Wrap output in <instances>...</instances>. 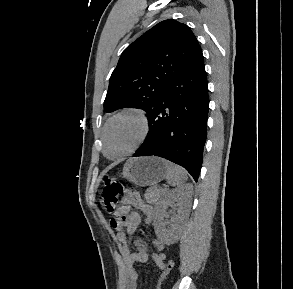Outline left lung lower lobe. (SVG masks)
I'll use <instances>...</instances> for the list:
<instances>
[{
    "label": "left lung lower lobe",
    "instance_id": "obj_1",
    "mask_svg": "<svg viewBox=\"0 0 293 289\" xmlns=\"http://www.w3.org/2000/svg\"><path fill=\"white\" fill-rule=\"evenodd\" d=\"M208 106L201 53L147 111L149 132L133 156L155 155L170 160L184 167L197 182L206 141Z\"/></svg>",
    "mask_w": 293,
    "mask_h": 289
}]
</instances>
